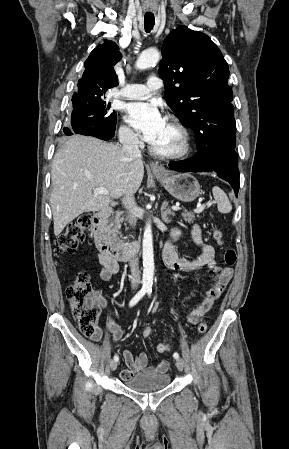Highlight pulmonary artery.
Listing matches in <instances>:
<instances>
[{
	"instance_id": "1",
	"label": "pulmonary artery",
	"mask_w": 289,
	"mask_h": 449,
	"mask_svg": "<svg viewBox=\"0 0 289 449\" xmlns=\"http://www.w3.org/2000/svg\"><path fill=\"white\" fill-rule=\"evenodd\" d=\"M162 85V80L159 77L152 76L146 84H127L122 90L115 91L114 95L125 99H145L154 91L159 90Z\"/></svg>"
}]
</instances>
